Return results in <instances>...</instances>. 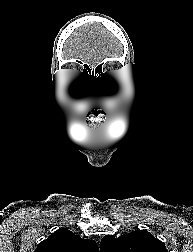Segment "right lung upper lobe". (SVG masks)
<instances>
[{
	"instance_id": "right-lung-upper-lobe-1",
	"label": "right lung upper lobe",
	"mask_w": 193,
	"mask_h": 252,
	"mask_svg": "<svg viewBox=\"0 0 193 252\" xmlns=\"http://www.w3.org/2000/svg\"><path fill=\"white\" fill-rule=\"evenodd\" d=\"M35 252H99V248L94 240L81 239L64 228L39 243Z\"/></svg>"
}]
</instances>
